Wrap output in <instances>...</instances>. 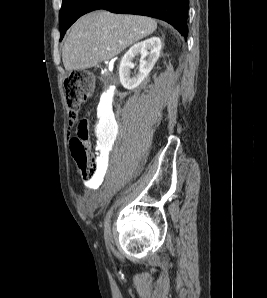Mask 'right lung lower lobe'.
I'll use <instances>...</instances> for the list:
<instances>
[{
    "label": "right lung lower lobe",
    "instance_id": "98d812e1",
    "mask_svg": "<svg viewBox=\"0 0 267 298\" xmlns=\"http://www.w3.org/2000/svg\"><path fill=\"white\" fill-rule=\"evenodd\" d=\"M98 9L158 18L174 26L185 38L188 34V0H98L90 11Z\"/></svg>",
    "mask_w": 267,
    "mask_h": 298
}]
</instances>
